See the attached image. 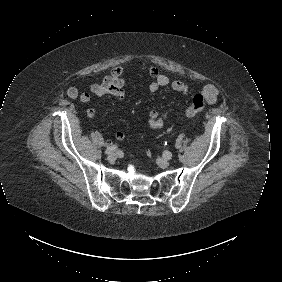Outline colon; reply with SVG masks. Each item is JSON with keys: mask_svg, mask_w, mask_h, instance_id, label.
<instances>
[{"mask_svg": "<svg viewBox=\"0 0 282 282\" xmlns=\"http://www.w3.org/2000/svg\"><path fill=\"white\" fill-rule=\"evenodd\" d=\"M206 104H207V100L205 95L202 93L196 94L192 99V103L186 110V116L194 117L198 115Z\"/></svg>", "mask_w": 282, "mask_h": 282, "instance_id": "5ec220e1", "label": "colon"}]
</instances>
